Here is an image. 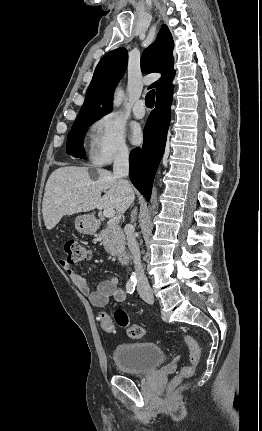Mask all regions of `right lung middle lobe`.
I'll list each match as a JSON object with an SVG mask.
<instances>
[{"instance_id":"1","label":"right lung middle lobe","mask_w":262,"mask_h":431,"mask_svg":"<svg viewBox=\"0 0 262 431\" xmlns=\"http://www.w3.org/2000/svg\"><path fill=\"white\" fill-rule=\"evenodd\" d=\"M98 119H76L67 138V153L77 158H84L83 136L88 127Z\"/></svg>"}]
</instances>
